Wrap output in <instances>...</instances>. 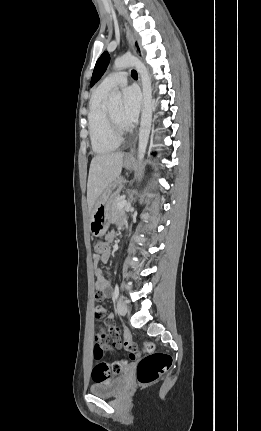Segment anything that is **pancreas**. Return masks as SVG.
Listing matches in <instances>:
<instances>
[{"label": "pancreas", "mask_w": 261, "mask_h": 431, "mask_svg": "<svg viewBox=\"0 0 261 431\" xmlns=\"http://www.w3.org/2000/svg\"><path fill=\"white\" fill-rule=\"evenodd\" d=\"M123 200V198L119 195H116L111 202V215L113 218L118 217L119 215L124 213V209L118 207V203Z\"/></svg>", "instance_id": "pancreas-1"}]
</instances>
